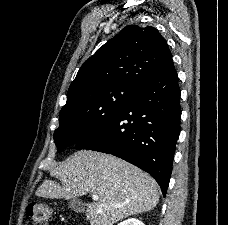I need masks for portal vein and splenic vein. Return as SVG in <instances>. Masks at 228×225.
Segmentation results:
<instances>
[{
    "mask_svg": "<svg viewBox=\"0 0 228 225\" xmlns=\"http://www.w3.org/2000/svg\"><path fill=\"white\" fill-rule=\"evenodd\" d=\"M93 201H98V195H92ZM114 207H117V205H114Z\"/></svg>",
    "mask_w": 228,
    "mask_h": 225,
    "instance_id": "1",
    "label": "portal vein and splenic vein"
}]
</instances>
